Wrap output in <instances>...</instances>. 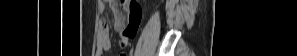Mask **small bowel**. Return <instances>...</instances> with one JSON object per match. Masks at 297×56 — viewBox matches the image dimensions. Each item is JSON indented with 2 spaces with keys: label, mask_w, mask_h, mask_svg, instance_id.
<instances>
[{
  "label": "small bowel",
  "mask_w": 297,
  "mask_h": 56,
  "mask_svg": "<svg viewBox=\"0 0 297 56\" xmlns=\"http://www.w3.org/2000/svg\"><path fill=\"white\" fill-rule=\"evenodd\" d=\"M114 14V29L119 32L121 42L127 43L133 38L138 30L141 20V8L136 1H106ZM102 10L104 7L102 6ZM111 47L109 25L106 20L100 23L96 56H103Z\"/></svg>",
  "instance_id": "obj_1"
}]
</instances>
